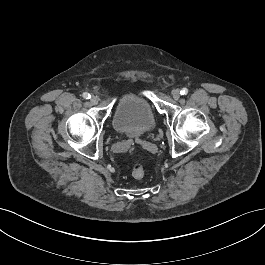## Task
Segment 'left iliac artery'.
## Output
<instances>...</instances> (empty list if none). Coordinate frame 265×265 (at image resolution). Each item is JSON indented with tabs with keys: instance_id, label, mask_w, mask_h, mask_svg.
<instances>
[{
	"instance_id": "44dca946",
	"label": "left iliac artery",
	"mask_w": 265,
	"mask_h": 265,
	"mask_svg": "<svg viewBox=\"0 0 265 265\" xmlns=\"http://www.w3.org/2000/svg\"><path fill=\"white\" fill-rule=\"evenodd\" d=\"M188 93V89L187 88H183L181 91H180V94L181 95H186Z\"/></svg>"
}]
</instances>
